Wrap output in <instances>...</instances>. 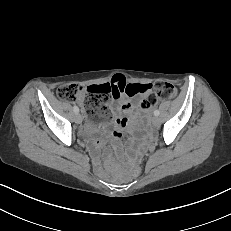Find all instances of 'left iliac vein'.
Masks as SVG:
<instances>
[{"mask_svg": "<svg viewBox=\"0 0 231 231\" xmlns=\"http://www.w3.org/2000/svg\"><path fill=\"white\" fill-rule=\"evenodd\" d=\"M152 124H153V126H155V127L159 126V125H160V118L157 117V116H154V117L152 118Z\"/></svg>", "mask_w": 231, "mask_h": 231, "instance_id": "1", "label": "left iliac vein"}]
</instances>
